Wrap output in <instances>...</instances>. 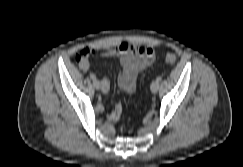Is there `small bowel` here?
I'll return each instance as SVG.
<instances>
[{
	"label": "small bowel",
	"instance_id": "obj_1",
	"mask_svg": "<svg viewBox=\"0 0 243 167\" xmlns=\"http://www.w3.org/2000/svg\"><path fill=\"white\" fill-rule=\"evenodd\" d=\"M103 58H119L120 73L118 77V84L122 92L131 93L136 86V81L139 73L151 65L155 58V51L151 46L147 45H130L127 43H120L116 48L108 49L106 51H97L90 49V55ZM88 56V57H89ZM88 57L79 62L82 70L89 69ZM110 90V82L104 78L101 82V91L107 94ZM122 114V106L116 105L115 108L108 114V120L115 122L119 120Z\"/></svg>",
	"mask_w": 243,
	"mask_h": 167
}]
</instances>
